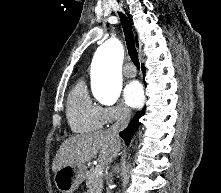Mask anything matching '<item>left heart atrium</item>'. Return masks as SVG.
Returning a JSON list of instances; mask_svg holds the SVG:
<instances>
[{
    "mask_svg": "<svg viewBox=\"0 0 221 193\" xmlns=\"http://www.w3.org/2000/svg\"><path fill=\"white\" fill-rule=\"evenodd\" d=\"M124 102L130 107H139L143 102V91L139 82L128 83L123 92Z\"/></svg>",
    "mask_w": 221,
    "mask_h": 193,
    "instance_id": "39dd6f15",
    "label": "left heart atrium"
}]
</instances>
